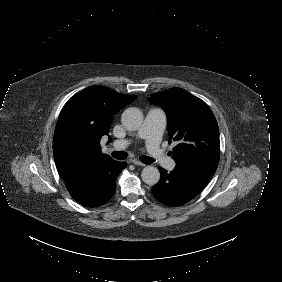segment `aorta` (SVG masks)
<instances>
[{
	"label": "aorta",
	"mask_w": 282,
	"mask_h": 282,
	"mask_svg": "<svg viewBox=\"0 0 282 282\" xmlns=\"http://www.w3.org/2000/svg\"><path fill=\"white\" fill-rule=\"evenodd\" d=\"M143 113L136 107H130L124 110L121 121L126 129L137 130L143 122ZM141 178L147 185L153 186L159 182L160 172L154 166H146L141 172Z\"/></svg>",
	"instance_id": "762f6f07"
}]
</instances>
